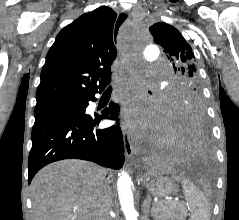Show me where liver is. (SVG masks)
<instances>
[{"mask_svg":"<svg viewBox=\"0 0 239 220\" xmlns=\"http://www.w3.org/2000/svg\"><path fill=\"white\" fill-rule=\"evenodd\" d=\"M107 170L67 159L41 169L31 183L34 220H97Z\"/></svg>","mask_w":239,"mask_h":220,"instance_id":"1","label":"liver"}]
</instances>
